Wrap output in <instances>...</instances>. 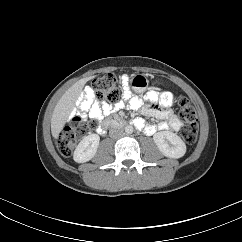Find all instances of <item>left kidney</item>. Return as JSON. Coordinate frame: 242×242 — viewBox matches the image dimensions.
Instances as JSON below:
<instances>
[{
  "instance_id": "5707ae66",
  "label": "left kidney",
  "mask_w": 242,
  "mask_h": 242,
  "mask_svg": "<svg viewBox=\"0 0 242 242\" xmlns=\"http://www.w3.org/2000/svg\"><path fill=\"white\" fill-rule=\"evenodd\" d=\"M153 139L160 152L166 157L178 159L186 153L184 141L173 132H158L153 136Z\"/></svg>"
}]
</instances>
